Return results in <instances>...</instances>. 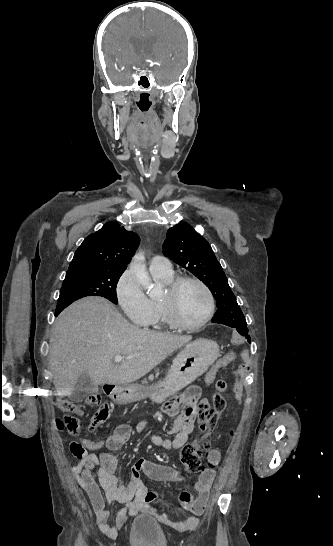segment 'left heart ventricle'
Listing matches in <instances>:
<instances>
[{
	"instance_id": "1",
	"label": "left heart ventricle",
	"mask_w": 333,
	"mask_h": 546,
	"mask_svg": "<svg viewBox=\"0 0 333 546\" xmlns=\"http://www.w3.org/2000/svg\"><path fill=\"white\" fill-rule=\"evenodd\" d=\"M166 293L161 299L165 298ZM208 306L207 296L195 283L183 284L173 299L177 316L185 323L194 324L202 319Z\"/></svg>"
}]
</instances>
